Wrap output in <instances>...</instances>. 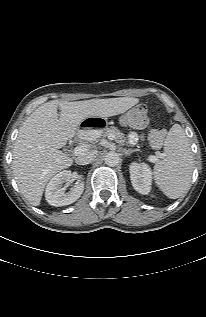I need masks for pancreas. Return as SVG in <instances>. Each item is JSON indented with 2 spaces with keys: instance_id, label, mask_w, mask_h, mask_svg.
Returning a JSON list of instances; mask_svg holds the SVG:
<instances>
[{
  "instance_id": "obj_1",
  "label": "pancreas",
  "mask_w": 206,
  "mask_h": 317,
  "mask_svg": "<svg viewBox=\"0 0 206 317\" xmlns=\"http://www.w3.org/2000/svg\"><path fill=\"white\" fill-rule=\"evenodd\" d=\"M101 135L105 137L109 135H113L114 140L121 145H125L127 143L126 136L117 127H114V126H111L110 128H106L105 130H103V132L99 134V137ZM90 140H93V139H90Z\"/></svg>"
}]
</instances>
